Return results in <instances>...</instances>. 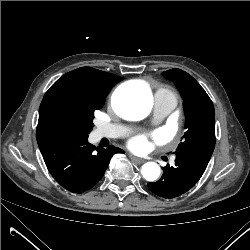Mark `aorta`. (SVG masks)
Here are the masks:
<instances>
[{
  "mask_svg": "<svg viewBox=\"0 0 250 250\" xmlns=\"http://www.w3.org/2000/svg\"><path fill=\"white\" fill-rule=\"evenodd\" d=\"M151 105V92L143 83H126L113 96L115 111L129 120L144 119L149 114ZM141 173L147 181H154L160 175V167L155 162H147L142 166Z\"/></svg>",
  "mask_w": 250,
  "mask_h": 250,
  "instance_id": "762f6f07",
  "label": "aorta"
}]
</instances>
